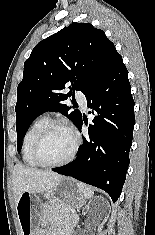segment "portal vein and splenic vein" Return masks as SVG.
Masks as SVG:
<instances>
[{
  "mask_svg": "<svg viewBox=\"0 0 155 235\" xmlns=\"http://www.w3.org/2000/svg\"><path fill=\"white\" fill-rule=\"evenodd\" d=\"M72 213H75V210H74V209L72 210Z\"/></svg>",
  "mask_w": 155,
  "mask_h": 235,
  "instance_id": "obj_1",
  "label": "portal vein and splenic vein"
}]
</instances>
